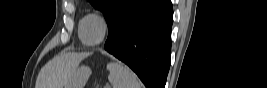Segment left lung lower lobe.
<instances>
[{
  "mask_svg": "<svg viewBox=\"0 0 267 88\" xmlns=\"http://www.w3.org/2000/svg\"><path fill=\"white\" fill-rule=\"evenodd\" d=\"M172 22L170 0H134L109 29L105 50L126 63L147 88H164Z\"/></svg>",
  "mask_w": 267,
  "mask_h": 88,
  "instance_id": "obj_1",
  "label": "left lung lower lobe"
}]
</instances>
